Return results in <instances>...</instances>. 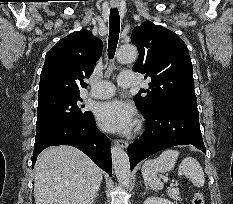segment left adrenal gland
I'll return each mask as SVG.
<instances>
[{"label":"left adrenal gland","mask_w":233,"mask_h":204,"mask_svg":"<svg viewBox=\"0 0 233 204\" xmlns=\"http://www.w3.org/2000/svg\"><path fill=\"white\" fill-rule=\"evenodd\" d=\"M146 186V190H148V186L147 185H145Z\"/></svg>","instance_id":"obj_1"}]
</instances>
